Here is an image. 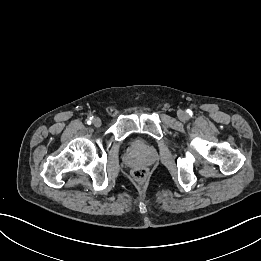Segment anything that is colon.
Listing matches in <instances>:
<instances>
[{
    "mask_svg": "<svg viewBox=\"0 0 261 261\" xmlns=\"http://www.w3.org/2000/svg\"><path fill=\"white\" fill-rule=\"evenodd\" d=\"M133 177L138 180L142 181L146 177V170L144 168H137L133 171Z\"/></svg>",
    "mask_w": 261,
    "mask_h": 261,
    "instance_id": "5ec220e1",
    "label": "colon"
}]
</instances>
